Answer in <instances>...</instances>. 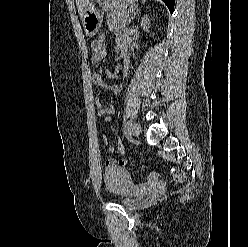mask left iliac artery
<instances>
[{
  "label": "left iliac artery",
  "mask_w": 248,
  "mask_h": 247,
  "mask_svg": "<svg viewBox=\"0 0 248 247\" xmlns=\"http://www.w3.org/2000/svg\"><path fill=\"white\" fill-rule=\"evenodd\" d=\"M124 133H125V135H129L130 134V123L129 122H126L125 123Z\"/></svg>",
  "instance_id": "1"
}]
</instances>
